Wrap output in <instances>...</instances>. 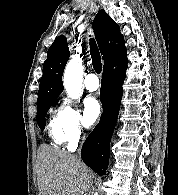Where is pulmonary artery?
Here are the masks:
<instances>
[{"label":"pulmonary artery","instance_id":"pulmonary-artery-1","mask_svg":"<svg viewBox=\"0 0 178 195\" xmlns=\"http://www.w3.org/2000/svg\"><path fill=\"white\" fill-rule=\"evenodd\" d=\"M85 87L89 91H96L100 87L98 76L95 73H90L85 78Z\"/></svg>","mask_w":178,"mask_h":195}]
</instances>
